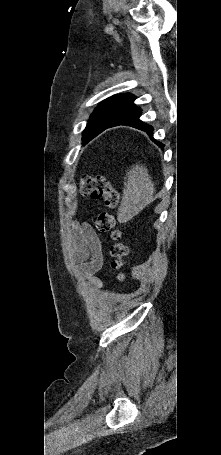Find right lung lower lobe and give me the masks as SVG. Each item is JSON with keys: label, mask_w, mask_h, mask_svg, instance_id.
<instances>
[{"label": "right lung lower lobe", "mask_w": 221, "mask_h": 455, "mask_svg": "<svg viewBox=\"0 0 221 455\" xmlns=\"http://www.w3.org/2000/svg\"><path fill=\"white\" fill-rule=\"evenodd\" d=\"M140 115H141V109L133 108L132 110L125 113L114 124H112L111 127L118 126V125H129V126H132V127H135V128H138V129H141V130L147 132V134L152 138V132H153L152 126L144 124L142 121H140L139 120Z\"/></svg>", "instance_id": "obj_1"}]
</instances>
